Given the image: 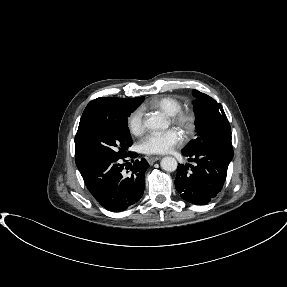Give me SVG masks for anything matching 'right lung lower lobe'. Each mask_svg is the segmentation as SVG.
<instances>
[{
  "instance_id": "1",
  "label": "right lung lower lobe",
  "mask_w": 287,
  "mask_h": 287,
  "mask_svg": "<svg viewBox=\"0 0 287 287\" xmlns=\"http://www.w3.org/2000/svg\"><path fill=\"white\" fill-rule=\"evenodd\" d=\"M127 157L135 158L136 153ZM121 159H109L90 166L82 177L89 192L105 209L121 212L137 203L143 195L144 174L149 167L145 159L131 160V173L123 176L122 170L127 163Z\"/></svg>"
}]
</instances>
